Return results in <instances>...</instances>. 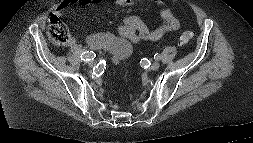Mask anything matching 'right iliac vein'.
<instances>
[{
	"instance_id": "right-iliac-vein-1",
	"label": "right iliac vein",
	"mask_w": 253,
	"mask_h": 143,
	"mask_svg": "<svg viewBox=\"0 0 253 143\" xmlns=\"http://www.w3.org/2000/svg\"><path fill=\"white\" fill-rule=\"evenodd\" d=\"M89 67H94L95 66V61L91 60L88 62Z\"/></svg>"
}]
</instances>
